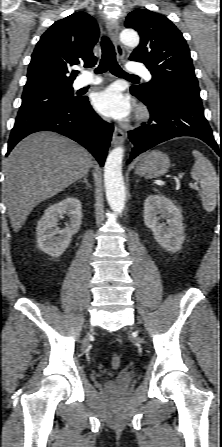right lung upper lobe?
Instances as JSON below:
<instances>
[{
	"label": "right lung upper lobe",
	"mask_w": 222,
	"mask_h": 447,
	"mask_svg": "<svg viewBox=\"0 0 222 447\" xmlns=\"http://www.w3.org/2000/svg\"><path fill=\"white\" fill-rule=\"evenodd\" d=\"M98 37L95 19L85 12L55 22L41 36L31 56L24 92L72 87L76 75H66L69 67L80 61L95 65L92 49Z\"/></svg>",
	"instance_id": "obj_1"
}]
</instances>
